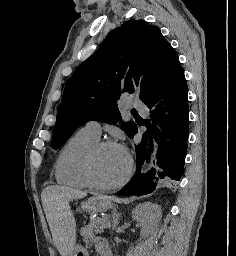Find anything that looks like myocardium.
Wrapping results in <instances>:
<instances>
[{"label":"myocardium","mask_w":236,"mask_h":256,"mask_svg":"<svg viewBox=\"0 0 236 256\" xmlns=\"http://www.w3.org/2000/svg\"><path fill=\"white\" fill-rule=\"evenodd\" d=\"M111 146H114V144L112 142L98 143L92 149V151L90 152V154L87 158L86 177H87L89 185L97 191L110 192V191H114L116 189H119L128 182V180L131 178V175H132L133 160H132V157L127 154V168H126V171H125L124 175L117 182H115L113 184L105 185V184H102L98 180L97 175H96V169H95L96 159H97L98 155L104 149H106L108 147H111Z\"/></svg>","instance_id":"obj_1"}]
</instances>
